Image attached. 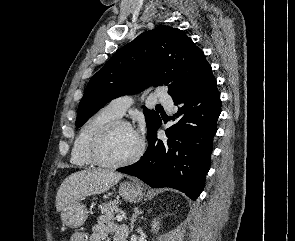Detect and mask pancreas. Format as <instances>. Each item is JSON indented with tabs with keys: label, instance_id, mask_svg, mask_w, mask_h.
I'll use <instances>...</instances> for the list:
<instances>
[{
	"label": "pancreas",
	"instance_id": "obj_1",
	"mask_svg": "<svg viewBox=\"0 0 295 241\" xmlns=\"http://www.w3.org/2000/svg\"><path fill=\"white\" fill-rule=\"evenodd\" d=\"M100 209L101 213L104 214L110 220H115L114 215L121 211L118 207L117 201H109L107 203H103L100 206Z\"/></svg>",
	"mask_w": 295,
	"mask_h": 241
}]
</instances>
